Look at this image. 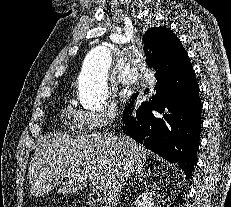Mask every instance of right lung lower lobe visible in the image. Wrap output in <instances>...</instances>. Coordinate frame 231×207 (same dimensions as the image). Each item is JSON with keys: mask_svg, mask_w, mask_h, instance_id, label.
Here are the masks:
<instances>
[{"mask_svg": "<svg viewBox=\"0 0 231 207\" xmlns=\"http://www.w3.org/2000/svg\"><path fill=\"white\" fill-rule=\"evenodd\" d=\"M156 28H149L143 39ZM159 61V60H158ZM162 64H157L161 66ZM154 92L138 108L133 101L123 112L125 132L149 150L176 163L188 178L200 140L201 100L191 62L156 70Z\"/></svg>", "mask_w": 231, "mask_h": 207, "instance_id": "98d812e1", "label": "right lung lower lobe"}]
</instances>
